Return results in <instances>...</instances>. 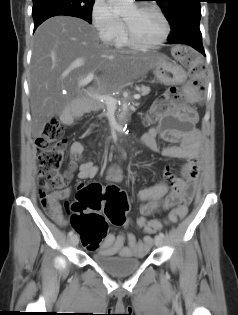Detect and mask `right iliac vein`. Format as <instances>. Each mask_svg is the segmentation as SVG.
Masks as SVG:
<instances>
[{
	"label": "right iliac vein",
	"mask_w": 238,
	"mask_h": 315,
	"mask_svg": "<svg viewBox=\"0 0 238 315\" xmlns=\"http://www.w3.org/2000/svg\"><path fill=\"white\" fill-rule=\"evenodd\" d=\"M71 243H72L74 246L78 245V243H79V237H78V235H73V236L71 237Z\"/></svg>",
	"instance_id": "obj_1"
}]
</instances>
